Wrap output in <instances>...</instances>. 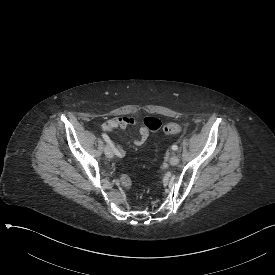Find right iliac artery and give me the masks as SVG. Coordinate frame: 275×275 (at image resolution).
<instances>
[{
	"label": "right iliac artery",
	"instance_id": "obj_1",
	"mask_svg": "<svg viewBox=\"0 0 275 275\" xmlns=\"http://www.w3.org/2000/svg\"><path fill=\"white\" fill-rule=\"evenodd\" d=\"M102 137L107 143H109L111 145V147H113L112 141L110 140V138L105 133H102Z\"/></svg>",
	"mask_w": 275,
	"mask_h": 275
}]
</instances>
